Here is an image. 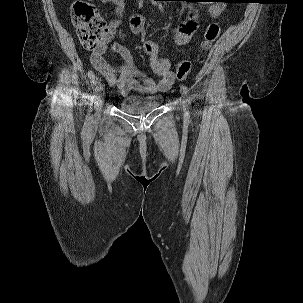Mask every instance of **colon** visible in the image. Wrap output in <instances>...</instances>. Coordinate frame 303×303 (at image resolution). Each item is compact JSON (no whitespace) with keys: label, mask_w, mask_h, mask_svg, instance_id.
I'll list each match as a JSON object with an SVG mask.
<instances>
[{"label":"colon","mask_w":303,"mask_h":303,"mask_svg":"<svg viewBox=\"0 0 303 303\" xmlns=\"http://www.w3.org/2000/svg\"><path fill=\"white\" fill-rule=\"evenodd\" d=\"M71 17L76 27L80 43L88 49L98 47L107 33V27L97 9L85 0H78L72 6ZM220 35V27L217 23H210L205 31V40L201 48L208 50ZM191 64L188 60L180 62L176 68V77L183 79L190 71Z\"/></svg>","instance_id":"5ec220e1"}]
</instances>
